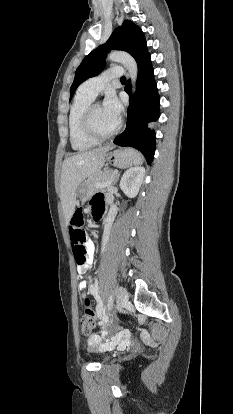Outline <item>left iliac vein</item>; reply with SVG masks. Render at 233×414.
<instances>
[{"label": "left iliac vein", "instance_id": "1", "mask_svg": "<svg viewBox=\"0 0 233 414\" xmlns=\"http://www.w3.org/2000/svg\"><path fill=\"white\" fill-rule=\"evenodd\" d=\"M128 292L124 287H118L117 289V306L119 310H122L128 302Z\"/></svg>", "mask_w": 233, "mask_h": 414}]
</instances>
